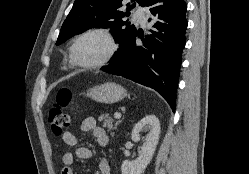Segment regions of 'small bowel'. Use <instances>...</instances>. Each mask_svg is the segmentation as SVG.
<instances>
[{
  "instance_id": "obj_1",
  "label": "small bowel",
  "mask_w": 249,
  "mask_h": 174,
  "mask_svg": "<svg viewBox=\"0 0 249 174\" xmlns=\"http://www.w3.org/2000/svg\"><path fill=\"white\" fill-rule=\"evenodd\" d=\"M81 130L83 132L91 131L97 144L100 147H106L109 143V138L106 131L96 125V120L93 117L85 118L81 123ZM63 142L70 147H75L78 144V137L72 132H65L62 135ZM93 156L91 149L87 147H77L74 153L66 152L62 156V163L64 168L61 174H74L71 165L74 163L75 158L88 159ZM99 174H112L111 166L107 159L101 158L99 161Z\"/></svg>"
}]
</instances>
